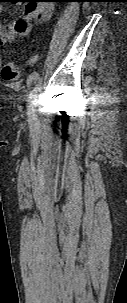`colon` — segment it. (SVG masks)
<instances>
[{
  "label": "colon",
  "mask_w": 127,
  "mask_h": 303,
  "mask_svg": "<svg viewBox=\"0 0 127 303\" xmlns=\"http://www.w3.org/2000/svg\"><path fill=\"white\" fill-rule=\"evenodd\" d=\"M34 59V58H32ZM20 76V67L15 62L6 64L2 70V77L6 81H15Z\"/></svg>",
  "instance_id": "1"
}]
</instances>
